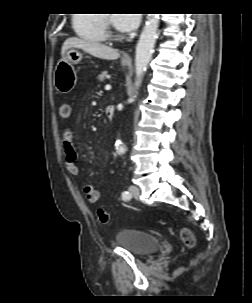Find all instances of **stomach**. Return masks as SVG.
Returning <instances> with one entry per match:
<instances>
[{
    "label": "stomach",
    "instance_id": "1",
    "mask_svg": "<svg viewBox=\"0 0 252 303\" xmlns=\"http://www.w3.org/2000/svg\"><path fill=\"white\" fill-rule=\"evenodd\" d=\"M82 58L83 54L77 48H70L57 63L54 73V86L58 92L66 94L73 90L77 83L74 64L79 63ZM128 64L129 62L122 61V65L126 66Z\"/></svg>",
    "mask_w": 252,
    "mask_h": 303
}]
</instances>
